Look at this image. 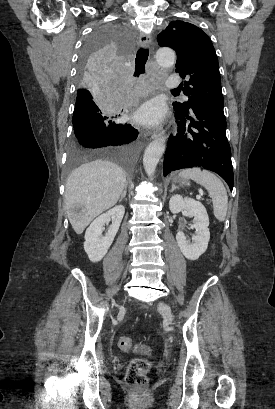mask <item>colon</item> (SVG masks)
I'll use <instances>...</instances> for the list:
<instances>
[{"label":"colon","mask_w":275,"mask_h":409,"mask_svg":"<svg viewBox=\"0 0 275 409\" xmlns=\"http://www.w3.org/2000/svg\"><path fill=\"white\" fill-rule=\"evenodd\" d=\"M143 343H135L132 338L124 336L119 339V347L123 350H131L136 347L137 352L148 351L146 348L143 350ZM148 349L151 347L149 344L146 346ZM151 368L150 361L145 357L133 359L127 367L126 381L129 386L144 387L147 382V374Z\"/></svg>","instance_id":"5ec220e1"}]
</instances>
